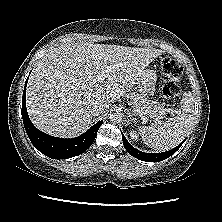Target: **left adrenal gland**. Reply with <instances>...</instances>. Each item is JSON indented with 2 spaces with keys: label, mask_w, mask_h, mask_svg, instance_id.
Masks as SVG:
<instances>
[{
  "label": "left adrenal gland",
  "mask_w": 222,
  "mask_h": 222,
  "mask_svg": "<svg viewBox=\"0 0 222 222\" xmlns=\"http://www.w3.org/2000/svg\"><path fill=\"white\" fill-rule=\"evenodd\" d=\"M127 114H128V122H127V124H129L132 121H136V118L134 117V114L130 113L129 111H128Z\"/></svg>",
  "instance_id": "obj_1"
}]
</instances>
